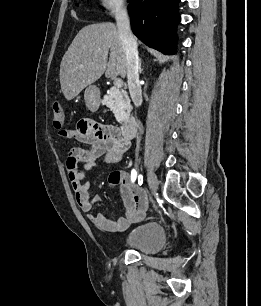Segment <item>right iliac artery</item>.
<instances>
[{
    "label": "right iliac artery",
    "mask_w": 261,
    "mask_h": 306,
    "mask_svg": "<svg viewBox=\"0 0 261 306\" xmlns=\"http://www.w3.org/2000/svg\"><path fill=\"white\" fill-rule=\"evenodd\" d=\"M136 176H137L136 171L132 170V172H131V179H132L133 182L136 180ZM142 183H143V176L140 174L138 176V184L141 186Z\"/></svg>",
    "instance_id": "right-iliac-artery-1"
}]
</instances>
